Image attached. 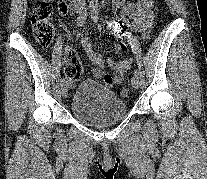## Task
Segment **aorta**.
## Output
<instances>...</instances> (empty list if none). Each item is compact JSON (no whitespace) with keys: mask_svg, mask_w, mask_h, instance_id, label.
Here are the masks:
<instances>
[{"mask_svg":"<svg viewBox=\"0 0 207 179\" xmlns=\"http://www.w3.org/2000/svg\"><path fill=\"white\" fill-rule=\"evenodd\" d=\"M88 2L90 4H92V5H94V4H97L98 3V0H88Z\"/></svg>","mask_w":207,"mask_h":179,"instance_id":"aorta-1","label":"aorta"}]
</instances>
